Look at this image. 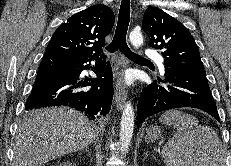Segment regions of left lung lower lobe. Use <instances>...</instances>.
I'll list each match as a JSON object with an SVG mask.
<instances>
[{
	"instance_id": "0a47b994",
	"label": "left lung lower lobe",
	"mask_w": 231,
	"mask_h": 166,
	"mask_svg": "<svg viewBox=\"0 0 231 166\" xmlns=\"http://www.w3.org/2000/svg\"><path fill=\"white\" fill-rule=\"evenodd\" d=\"M147 86L137 106V127L149 116L179 108H198L220 121L205 70L165 67L164 79Z\"/></svg>"
}]
</instances>
